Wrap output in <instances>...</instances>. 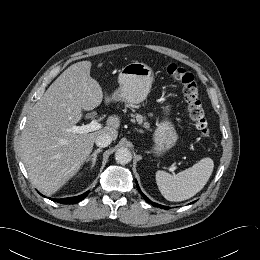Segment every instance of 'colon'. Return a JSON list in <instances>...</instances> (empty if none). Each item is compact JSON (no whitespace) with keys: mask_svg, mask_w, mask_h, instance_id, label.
I'll return each mask as SVG.
<instances>
[{"mask_svg":"<svg viewBox=\"0 0 260 260\" xmlns=\"http://www.w3.org/2000/svg\"><path fill=\"white\" fill-rule=\"evenodd\" d=\"M165 70L169 76L182 85L183 96L188 106V117L199 134L207 138L209 136L208 124L199 100L198 86L194 75L176 64L167 65Z\"/></svg>","mask_w":260,"mask_h":260,"instance_id":"colon-1","label":"colon"}]
</instances>
